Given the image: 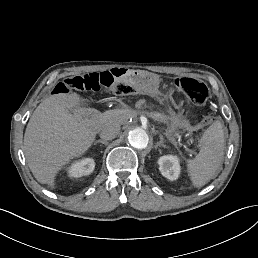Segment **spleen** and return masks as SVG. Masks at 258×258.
Returning <instances> with one entry per match:
<instances>
[{
	"label": "spleen",
	"mask_w": 258,
	"mask_h": 258,
	"mask_svg": "<svg viewBox=\"0 0 258 258\" xmlns=\"http://www.w3.org/2000/svg\"><path fill=\"white\" fill-rule=\"evenodd\" d=\"M224 131L221 123H212L200 140V152L189 162L193 184L201 187L216 177L224 158Z\"/></svg>",
	"instance_id": "1"
}]
</instances>
